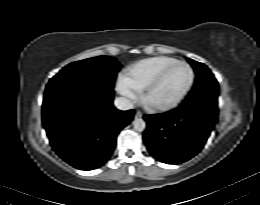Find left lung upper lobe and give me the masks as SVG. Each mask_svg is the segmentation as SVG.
<instances>
[{
  "instance_id": "1",
  "label": "left lung upper lobe",
  "mask_w": 260,
  "mask_h": 205,
  "mask_svg": "<svg viewBox=\"0 0 260 205\" xmlns=\"http://www.w3.org/2000/svg\"><path fill=\"white\" fill-rule=\"evenodd\" d=\"M187 60L193 66L197 77L193 90L186 98L184 103H204L215 109H218V82L214 78V75L206 65L189 58Z\"/></svg>"
}]
</instances>
